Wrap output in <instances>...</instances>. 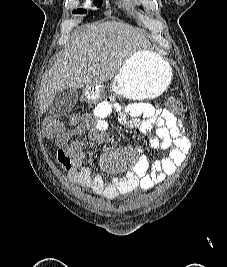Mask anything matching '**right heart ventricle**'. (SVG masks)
Instances as JSON below:
<instances>
[{
	"label": "right heart ventricle",
	"instance_id": "e07e8e85",
	"mask_svg": "<svg viewBox=\"0 0 227 267\" xmlns=\"http://www.w3.org/2000/svg\"><path fill=\"white\" fill-rule=\"evenodd\" d=\"M122 2L126 5H129V4L135 3V0H122Z\"/></svg>",
	"mask_w": 227,
	"mask_h": 267
}]
</instances>
